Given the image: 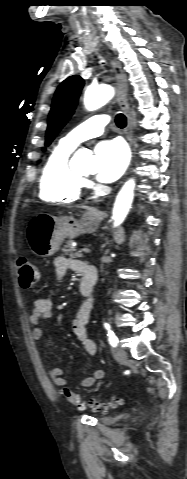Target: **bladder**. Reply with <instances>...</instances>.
<instances>
[{
	"label": "bladder",
	"mask_w": 187,
	"mask_h": 479,
	"mask_svg": "<svg viewBox=\"0 0 187 479\" xmlns=\"http://www.w3.org/2000/svg\"><path fill=\"white\" fill-rule=\"evenodd\" d=\"M101 421L105 424H111V423L114 422V419L103 417V418H101Z\"/></svg>",
	"instance_id": "obj_1"
}]
</instances>
